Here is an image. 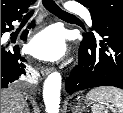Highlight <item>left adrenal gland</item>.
I'll return each mask as SVG.
<instances>
[{"label": "left adrenal gland", "instance_id": "obj_1", "mask_svg": "<svg viewBox=\"0 0 123 113\" xmlns=\"http://www.w3.org/2000/svg\"><path fill=\"white\" fill-rule=\"evenodd\" d=\"M74 109V108H73ZM84 107H82L81 109H80V111H79V109H77L76 111H75V113H82L83 111H84ZM72 112H74V111H72Z\"/></svg>", "mask_w": 123, "mask_h": 113}]
</instances>
